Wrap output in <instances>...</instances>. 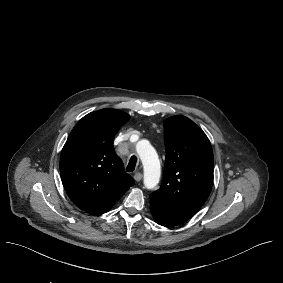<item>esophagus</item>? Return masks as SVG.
I'll return each mask as SVG.
<instances>
[{"label":"esophagus","mask_w":283,"mask_h":283,"mask_svg":"<svg viewBox=\"0 0 283 283\" xmlns=\"http://www.w3.org/2000/svg\"><path fill=\"white\" fill-rule=\"evenodd\" d=\"M133 177H134L135 181H140L142 179L143 175L140 172H136Z\"/></svg>","instance_id":"obj_1"}]
</instances>
